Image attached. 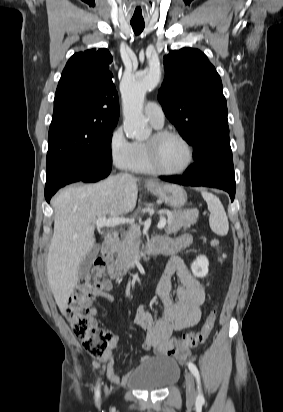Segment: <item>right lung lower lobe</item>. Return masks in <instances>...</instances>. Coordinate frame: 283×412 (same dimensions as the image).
<instances>
[{"label":"right lung lower lobe","instance_id":"98d812e1","mask_svg":"<svg viewBox=\"0 0 283 412\" xmlns=\"http://www.w3.org/2000/svg\"><path fill=\"white\" fill-rule=\"evenodd\" d=\"M111 166L112 162L92 161L79 165L65 163L47 170L46 201L49 203L57 190L67 184L77 181L96 182L106 177L111 171Z\"/></svg>","mask_w":283,"mask_h":412}]
</instances>
